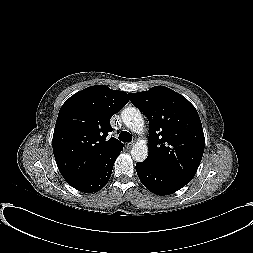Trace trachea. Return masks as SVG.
<instances>
[{"instance_id": "1", "label": "trachea", "mask_w": 253, "mask_h": 253, "mask_svg": "<svg viewBox=\"0 0 253 253\" xmlns=\"http://www.w3.org/2000/svg\"><path fill=\"white\" fill-rule=\"evenodd\" d=\"M119 140L123 142H130L132 140V135L127 131H122L119 134Z\"/></svg>"}]
</instances>
